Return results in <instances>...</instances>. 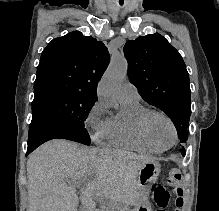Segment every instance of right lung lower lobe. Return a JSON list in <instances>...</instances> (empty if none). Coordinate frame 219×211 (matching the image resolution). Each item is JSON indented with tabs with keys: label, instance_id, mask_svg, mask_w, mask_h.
Masks as SVG:
<instances>
[{
	"label": "right lung lower lobe",
	"instance_id": "right-lung-lower-lobe-1",
	"mask_svg": "<svg viewBox=\"0 0 219 211\" xmlns=\"http://www.w3.org/2000/svg\"><path fill=\"white\" fill-rule=\"evenodd\" d=\"M57 138L90 145V143L83 138L82 134L74 129L50 122H37L35 125H30L29 127L27 154L31 153L42 143Z\"/></svg>",
	"mask_w": 219,
	"mask_h": 211
}]
</instances>
